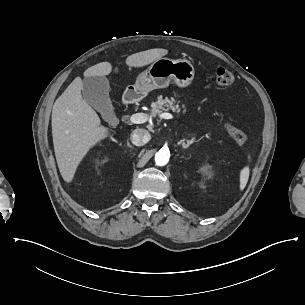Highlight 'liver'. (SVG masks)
Here are the masks:
<instances>
[{
    "mask_svg": "<svg viewBox=\"0 0 305 305\" xmlns=\"http://www.w3.org/2000/svg\"><path fill=\"white\" fill-rule=\"evenodd\" d=\"M169 54L156 48L134 53L125 59L129 69H142ZM119 68L110 62H101L83 72L84 78L107 77ZM83 82L77 77L58 98L52 115L55 156L63 180L71 184L77 169L89 151L113 137L115 132L102 125L98 114L82 97Z\"/></svg>",
    "mask_w": 305,
    "mask_h": 305,
    "instance_id": "6515ba94",
    "label": "liver"
}]
</instances>
